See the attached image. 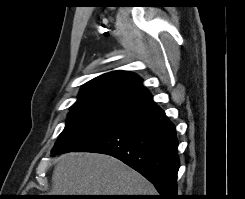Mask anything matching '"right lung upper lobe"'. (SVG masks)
Instances as JSON below:
<instances>
[{
    "mask_svg": "<svg viewBox=\"0 0 245 199\" xmlns=\"http://www.w3.org/2000/svg\"><path fill=\"white\" fill-rule=\"evenodd\" d=\"M154 105L139 76L129 71H112L84 84L71 108L94 107L129 116Z\"/></svg>",
    "mask_w": 245,
    "mask_h": 199,
    "instance_id": "right-lung-upper-lobe-1",
    "label": "right lung upper lobe"
}]
</instances>
